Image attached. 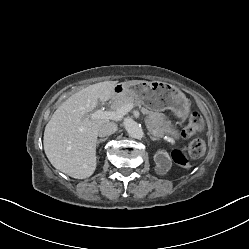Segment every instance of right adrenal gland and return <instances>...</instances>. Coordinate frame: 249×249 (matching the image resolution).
I'll return each mask as SVG.
<instances>
[{"label": "right adrenal gland", "mask_w": 249, "mask_h": 249, "mask_svg": "<svg viewBox=\"0 0 249 249\" xmlns=\"http://www.w3.org/2000/svg\"><path fill=\"white\" fill-rule=\"evenodd\" d=\"M106 140H107V138L99 139V140L97 141V146L99 145L100 142H104V141H106Z\"/></svg>", "instance_id": "right-adrenal-gland-1"}]
</instances>
